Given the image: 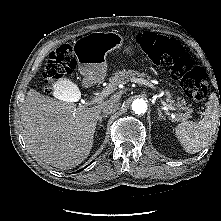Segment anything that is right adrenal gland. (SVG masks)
I'll list each match as a JSON object with an SVG mask.
<instances>
[{
  "label": "right adrenal gland",
  "instance_id": "1",
  "mask_svg": "<svg viewBox=\"0 0 221 221\" xmlns=\"http://www.w3.org/2000/svg\"><path fill=\"white\" fill-rule=\"evenodd\" d=\"M106 117H107V115H101V116L99 117V123H98V126H99V127L101 126L102 119H103V118H106Z\"/></svg>",
  "mask_w": 221,
  "mask_h": 221
}]
</instances>
